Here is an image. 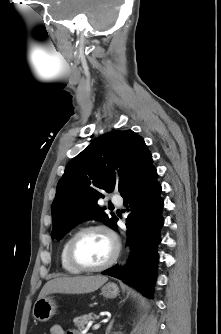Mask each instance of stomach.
Here are the masks:
<instances>
[{"instance_id":"1","label":"stomach","mask_w":221,"mask_h":334,"mask_svg":"<svg viewBox=\"0 0 221 334\" xmlns=\"http://www.w3.org/2000/svg\"><path fill=\"white\" fill-rule=\"evenodd\" d=\"M119 288L115 283H107L101 289V294L107 299H113L117 297ZM56 311V304L51 297H43L37 299L33 306L32 314L33 317L40 321H48Z\"/></svg>"}]
</instances>
